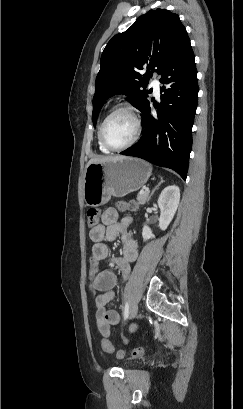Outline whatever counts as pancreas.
<instances>
[{
    "label": "pancreas",
    "instance_id": "obj_1",
    "mask_svg": "<svg viewBox=\"0 0 243 409\" xmlns=\"http://www.w3.org/2000/svg\"><path fill=\"white\" fill-rule=\"evenodd\" d=\"M148 195H149V192L140 191L138 193V195H137V200H138L139 204H141V205L145 204L148 201V198H149Z\"/></svg>",
    "mask_w": 243,
    "mask_h": 409
}]
</instances>
